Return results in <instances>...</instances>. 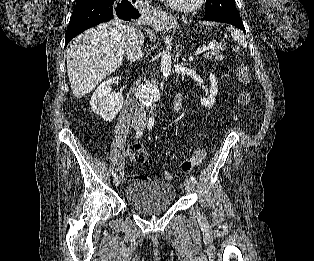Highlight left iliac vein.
I'll return each mask as SVG.
<instances>
[{
    "label": "left iliac vein",
    "instance_id": "4c4485c4",
    "mask_svg": "<svg viewBox=\"0 0 314 261\" xmlns=\"http://www.w3.org/2000/svg\"><path fill=\"white\" fill-rule=\"evenodd\" d=\"M143 126H145V122L143 123ZM185 189L188 193H193L194 190H195V185L194 183L190 180V179H187L185 181ZM200 215V214H199Z\"/></svg>",
    "mask_w": 314,
    "mask_h": 261
}]
</instances>
